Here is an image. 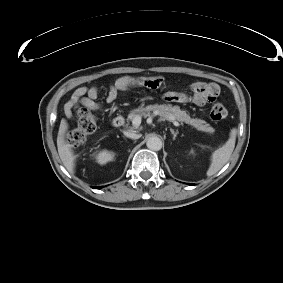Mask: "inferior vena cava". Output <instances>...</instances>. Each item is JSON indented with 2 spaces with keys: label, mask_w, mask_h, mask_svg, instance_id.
I'll return each mask as SVG.
<instances>
[{
  "label": "inferior vena cava",
  "mask_w": 283,
  "mask_h": 283,
  "mask_svg": "<svg viewBox=\"0 0 283 283\" xmlns=\"http://www.w3.org/2000/svg\"><path fill=\"white\" fill-rule=\"evenodd\" d=\"M124 135L131 139H139L141 137V134L137 133L136 131H132V130L124 131Z\"/></svg>",
  "instance_id": "602c4592"
}]
</instances>
